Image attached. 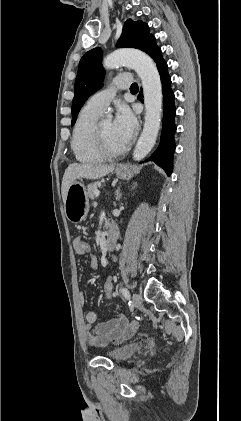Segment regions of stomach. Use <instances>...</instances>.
<instances>
[{"label":"stomach","instance_id":"stomach-1","mask_svg":"<svg viewBox=\"0 0 241 421\" xmlns=\"http://www.w3.org/2000/svg\"><path fill=\"white\" fill-rule=\"evenodd\" d=\"M115 173L119 178L126 180L133 176V170L127 165L118 166ZM64 210L67 219L72 223L85 220L89 211V201L83 183L75 181L70 185L64 201Z\"/></svg>","mask_w":241,"mask_h":421}]
</instances>
